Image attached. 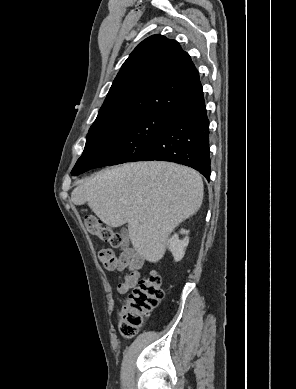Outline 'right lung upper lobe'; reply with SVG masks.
<instances>
[{
  "mask_svg": "<svg viewBox=\"0 0 296 389\" xmlns=\"http://www.w3.org/2000/svg\"><path fill=\"white\" fill-rule=\"evenodd\" d=\"M205 104L199 73L175 40L153 35L129 55L97 118L158 113L172 118Z\"/></svg>",
  "mask_w": 296,
  "mask_h": 389,
  "instance_id": "obj_1",
  "label": "right lung upper lobe"
}]
</instances>
